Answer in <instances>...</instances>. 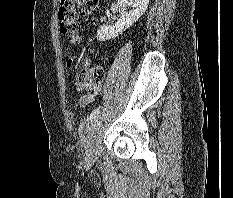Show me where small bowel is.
<instances>
[{
    "label": "small bowel",
    "mask_w": 233,
    "mask_h": 198,
    "mask_svg": "<svg viewBox=\"0 0 233 198\" xmlns=\"http://www.w3.org/2000/svg\"><path fill=\"white\" fill-rule=\"evenodd\" d=\"M85 63H88V62L85 61ZM98 93H99V91L97 90L94 93L81 94L78 97V105L80 107H85V106L89 105L90 103H92L95 100V98L97 97Z\"/></svg>",
    "instance_id": "obj_1"
}]
</instances>
